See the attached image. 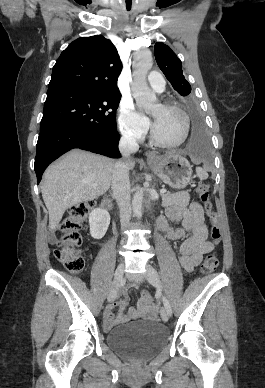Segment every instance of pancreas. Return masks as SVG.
Wrapping results in <instances>:
<instances>
[{"mask_svg":"<svg viewBox=\"0 0 265 388\" xmlns=\"http://www.w3.org/2000/svg\"><path fill=\"white\" fill-rule=\"evenodd\" d=\"M188 192L190 190H187V192H176V194H161L163 208H168V206H188L190 200Z\"/></svg>","mask_w":265,"mask_h":388,"instance_id":"pancreas-1","label":"pancreas"}]
</instances>
